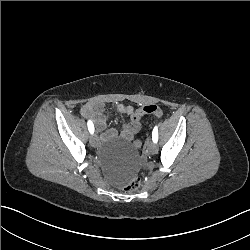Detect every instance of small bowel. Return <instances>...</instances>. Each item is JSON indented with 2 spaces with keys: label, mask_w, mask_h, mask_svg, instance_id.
<instances>
[{
  "label": "small bowel",
  "mask_w": 250,
  "mask_h": 250,
  "mask_svg": "<svg viewBox=\"0 0 250 250\" xmlns=\"http://www.w3.org/2000/svg\"><path fill=\"white\" fill-rule=\"evenodd\" d=\"M134 110L135 109L133 107L126 106L123 104L118 106V111L121 114L128 116L129 119H130V114ZM80 112L83 117L91 119L94 122L95 127L99 132L105 129L108 116L105 113V106L103 103L100 102L86 103L81 106ZM139 130H140V121L133 122L130 119L128 123H124L121 125L120 135L123 139L130 141L133 139L134 135L139 132ZM115 134L116 133L114 130H109L107 132L108 139L113 138Z\"/></svg>",
  "instance_id": "1"
}]
</instances>
